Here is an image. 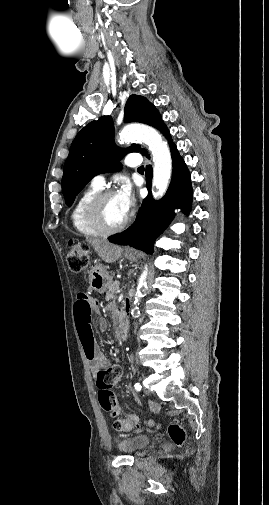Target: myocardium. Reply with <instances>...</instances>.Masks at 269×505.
I'll return each mask as SVG.
<instances>
[{"label":"myocardium","instance_id":"myocardium-1","mask_svg":"<svg viewBox=\"0 0 269 505\" xmlns=\"http://www.w3.org/2000/svg\"><path fill=\"white\" fill-rule=\"evenodd\" d=\"M115 195V192L111 189L100 191L96 194L91 201L88 203L86 208V218L89 224L103 235H112L121 232L129 223V217L117 226H108L102 218V206L104 201Z\"/></svg>","mask_w":269,"mask_h":505}]
</instances>
